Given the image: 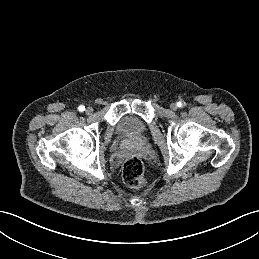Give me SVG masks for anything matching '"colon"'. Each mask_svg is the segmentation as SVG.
<instances>
[{
  "label": "colon",
  "instance_id": "colon-1",
  "mask_svg": "<svg viewBox=\"0 0 259 259\" xmlns=\"http://www.w3.org/2000/svg\"><path fill=\"white\" fill-rule=\"evenodd\" d=\"M122 177L124 183L132 188L145 186L147 181L142 161L136 156L129 157L123 164Z\"/></svg>",
  "mask_w": 259,
  "mask_h": 259
}]
</instances>
